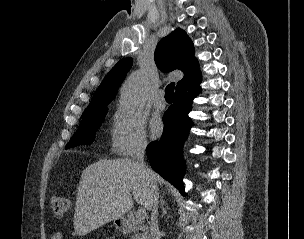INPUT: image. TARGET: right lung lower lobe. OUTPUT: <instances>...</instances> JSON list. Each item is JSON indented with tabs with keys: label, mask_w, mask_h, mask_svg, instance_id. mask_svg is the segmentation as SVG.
I'll use <instances>...</instances> for the list:
<instances>
[{
	"label": "right lung lower lobe",
	"mask_w": 304,
	"mask_h": 239,
	"mask_svg": "<svg viewBox=\"0 0 304 239\" xmlns=\"http://www.w3.org/2000/svg\"><path fill=\"white\" fill-rule=\"evenodd\" d=\"M201 74L176 89L174 103L163 116L164 131L159 141L151 142L146 153L154 171L184 193L185 162L182 147L193 125L188 113L200 93Z\"/></svg>",
	"instance_id": "obj_1"
}]
</instances>
